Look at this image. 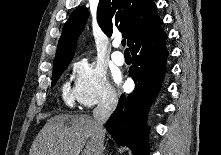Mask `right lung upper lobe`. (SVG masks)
Returning <instances> with one entry per match:
<instances>
[{"mask_svg":"<svg viewBox=\"0 0 221 155\" xmlns=\"http://www.w3.org/2000/svg\"><path fill=\"white\" fill-rule=\"evenodd\" d=\"M153 0H100L97 8L98 24L107 36L119 30L130 47L147 31L161 23ZM88 9L78 7L64 25L59 39L53 69L67 65L73 59L77 39L85 27Z\"/></svg>","mask_w":221,"mask_h":155,"instance_id":"right-lung-upper-lobe-1","label":"right lung upper lobe"}]
</instances>
